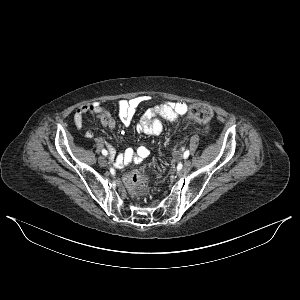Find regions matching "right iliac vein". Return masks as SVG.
<instances>
[{"label": "right iliac vein", "mask_w": 300, "mask_h": 300, "mask_svg": "<svg viewBox=\"0 0 300 300\" xmlns=\"http://www.w3.org/2000/svg\"><path fill=\"white\" fill-rule=\"evenodd\" d=\"M98 161H99V164L103 167L107 165V160L104 156H100Z\"/></svg>", "instance_id": "63e3f726"}]
</instances>
